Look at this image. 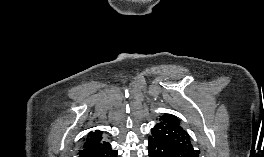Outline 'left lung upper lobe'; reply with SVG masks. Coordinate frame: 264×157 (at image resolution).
<instances>
[{"mask_svg": "<svg viewBox=\"0 0 264 157\" xmlns=\"http://www.w3.org/2000/svg\"><path fill=\"white\" fill-rule=\"evenodd\" d=\"M179 119L171 114H164L151 129L149 139L161 141L171 147L178 157H199L194 150L188 133L180 126Z\"/></svg>", "mask_w": 264, "mask_h": 157, "instance_id": "1", "label": "left lung upper lobe"}]
</instances>
